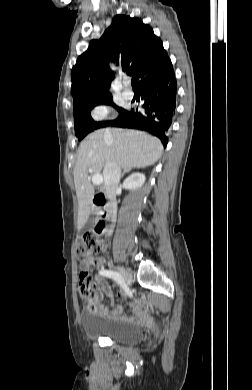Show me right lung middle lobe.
I'll list each match as a JSON object with an SVG mask.
<instances>
[{"label": "right lung middle lobe", "instance_id": "obj_1", "mask_svg": "<svg viewBox=\"0 0 252 390\" xmlns=\"http://www.w3.org/2000/svg\"><path fill=\"white\" fill-rule=\"evenodd\" d=\"M97 105H112L118 110L120 115L126 111L113 104L112 96L91 101L74 108L75 134L79 140L83 139L88 133L94 131L95 129L106 127L111 122H95L91 118L90 111Z\"/></svg>", "mask_w": 252, "mask_h": 390}]
</instances>
